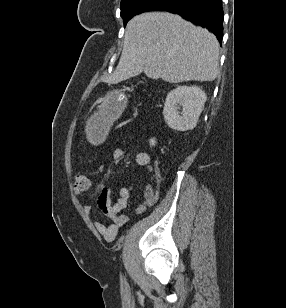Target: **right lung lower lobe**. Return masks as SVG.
Listing matches in <instances>:
<instances>
[{"mask_svg":"<svg viewBox=\"0 0 286 308\" xmlns=\"http://www.w3.org/2000/svg\"><path fill=\"white\" fill-rule=\"evenodd\" d=\"M153 11L175 13L212 31L219 42L223 38L222 0H168Z\"/></svg>","mask_w":286,"mask_h":308,"instance_id":"right-lung-lower-lobe-1","label":"right lung lower lobe"}]
</instances>
